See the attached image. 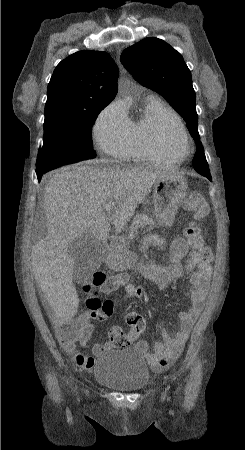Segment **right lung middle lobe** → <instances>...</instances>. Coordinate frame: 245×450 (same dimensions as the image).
I'll return each instance as SVG.
<instances>
[{
    "label": "right lung middle lobe",
    "instance_id": "1",
    "mask_svg": "<svg viewBox=\"0 0 245 450\" xmlns=\"http://www.w3.org/2000/svg\"><path fill=\"white\" fill-rule=\"evenodd\" d=\"M107 105L99 104L88 111H45L43 147L38 152L36 172L95 158L92 123Z\"/></svg>",
    "mask_w": 245,
    "mask_h": 450
}]
</instances>
